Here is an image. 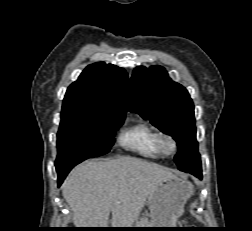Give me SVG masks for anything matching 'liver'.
Returning <instances> with one entry per match:
<instances>
[{
	"label": "liver",
	"instance_id": "liver-1",
	"mask_svg": "<svg viewBox=\"0 0 252 231\" xmlns=\"http://www.w3.org/2000/svg\"><path fill=\"white\" fill-rule=\"evenodd\" d=\"M175 175L167 168L137 158L91 160L76 166L62 193L78 228H131L158 186Z\"/></svg>",
	"mask_w": 252,
	"mask_h": 231
}]
</instances>
